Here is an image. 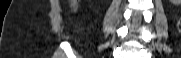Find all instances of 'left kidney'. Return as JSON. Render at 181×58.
I'll return each mask as SVG.
<instances>
[{
  "mask_svg": "<svg viewBox=\"0 0 181 58\" xmlns=\"http://www.w3.org/2000/svg\"><path fill=\"white\" fill-rule=\"evenodd\" d=\"M170 2H172V4H174V5H180L181 4V0H170Z\"/></svg>",
  "mask_w": 181,
  "mask_h": 58,
  "instance_id": "obj_1",
  "label": "left kidney"
}]
</instances>
